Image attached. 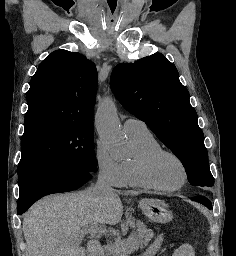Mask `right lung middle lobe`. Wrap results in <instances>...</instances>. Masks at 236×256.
<instances>
[{
    "mask_svg": "<svg viewBox=\"0 0 236 256\" xmlns=\"http://www.w3.org/2000/svg\"><path fill=\"white\" fill-rule=\"evenodd\" d=\"M19 186L31 178L78 169L96 172L93 123L82 124L55 119H35L24 123Z\"/></svg>",
    "mask_w": 236,
    "mask_h": 256,
    "instance_id": "right-lung-middle-lobe-1",
    "label": "right lung middle lobe"
}]
</instances>
